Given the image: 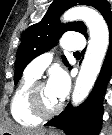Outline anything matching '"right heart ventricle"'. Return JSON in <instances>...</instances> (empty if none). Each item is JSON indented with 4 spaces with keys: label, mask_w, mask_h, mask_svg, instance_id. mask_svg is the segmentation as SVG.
I'll return each mask as SVG.
<instances>
[{
    "label": "right heart ventricle",
    "mask_w": 112,
    "mask_h": 135,
    "mask_svg": "<svg viewBox=\"0 0 112 135\" xmlns=\"http://www.w3.org/2000/svg\"><path fill=\"white\" fill-rule=\"evenodd\" d=\"M37 78L25 73L11 99L10 114L16 123L24 127L35 126L41 120L30 111L27 102L29 89L37 81Z\"/></svg>",
    "instance_id": "obj_1"
}]
</instances>
